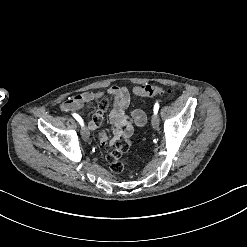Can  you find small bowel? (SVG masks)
Instances as JSON below:
<instances>
[{
	"label": "small bowel",
	"instance_id": "c3829d8e",
	"mask_svg": "<svg viewBox=\"0 0 247 247\" xmlns=\"http://www.w3.org/2000/svg\"><path fill=\"white\" fill-rule=\"evenodd\" d=\"M107 96L113 99V104L108 114L113 133L110 144L115 145L121 140L116 146V152L108 151L106 153L107 163H114L115 166L109 168V173L116 174L117 171L123 172L125 170L124 161L120 159L119 153L127 152L130 149V137L133 135L135 127L144 126L147 119L146 114L140 109H135L127 113V109L131 103L129 89L125 86L114 85L107 90V93L83 92L64 100L60 108L63 111L78 110L92 101L101 100L99 112L95 114L93 120L87 125L88 129L94 130L99 124L97 120H101L102 113L107 108ZM96 141L101 145L107 144L106 128L100 129V134L96 136Z\"/></svg>",
	"mask_w": 247,
	"mask_h": 247
}]
</instances>
